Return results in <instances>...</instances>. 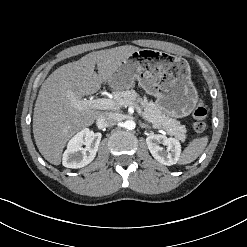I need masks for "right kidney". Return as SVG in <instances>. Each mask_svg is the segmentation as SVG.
Instances as JSON below:
<instances>
[{"label":"right kidney","instance_id":"right-kidney-1","mask_svg":"<svg viewBox=\"0 0 247 247\" xmlns=\"http://www.w3.org/2000/svg\"><path fill=\"white\" fill-rule=\"evenodd\" d=\"M102 134L94 133L85 128L74 135L63 153V166L67 168H82L88 165L96 156ZM86 145L85 148L82 146Z\"/></svg>","mask_w":247,"mask_h":247}]
</instances>
